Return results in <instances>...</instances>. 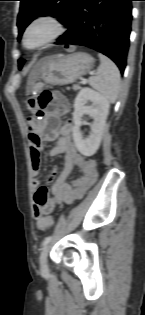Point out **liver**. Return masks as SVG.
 <instances>
[{"instance_id": "6515ba94", "label": "liver", "mask_w": 145, "mask_h": 315, "mask_svg": "<svg viewBox=\"0 0 145 315\" xmlns=\"http://www.w3.org/2000/svg\"><path fill=\"white\" fill-rule=\"evenodd\" d=\"M44 67V63L43 62H39L35 68L32 70L30 77H29V81H28V89L30 88V86L35 83V81L37 80L42 68Z\"/></svg>"}]
</instances>
